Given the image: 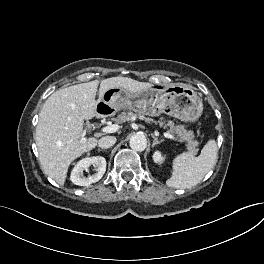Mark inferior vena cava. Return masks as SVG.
Wrapping results in <instances>:
<instances>
[{
    "mask_svg": "<svg viewBox=\"0 0 264 264\" xmlns=\"http://www.w3.org/2000/svg\"><path fill=\"white\" fill-rule=\"evenodd\" d=\"M117 139L114 136H105L99 139L98 146L102 149L112 147L116 143Z\"/></svg>",
    "mask_w": 264,
    "mask_h": 264,
    "instance_id": "1",
    "label": "inferior vena cava"
}]
</instances>
